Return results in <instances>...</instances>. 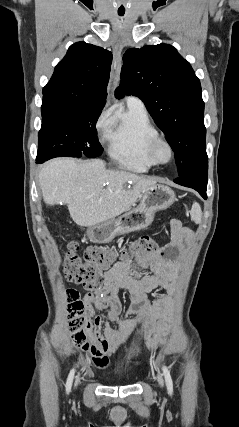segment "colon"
Listing matches in <instances>:
<instances>
[{
	"mask_svg": "<svg viewBox=\"0 0 239 427\" xmlns=\"http://www.w3.org/2000/svg\"><path fill=\"white\" fill-rule=\"evenodd\" d=\"M156 250V243L149 235H144L134 241L130 252L121 256L127 260L129 256H142ZM78 245L69 244L64 264V276L67 281L82 285L87 290H97L103 284V272L117 259L112 248L89 247L85 250L83 259L77 254ZM90 307L87 300L82 298L77 290L67 292V319L73 343L83 350L89 349L87 331Z\"/></svg>",
	"mask_w": 239,
	"mask_h": 427,
	"instance_id": "1",
	"label": "colon"
}]
</instances>
